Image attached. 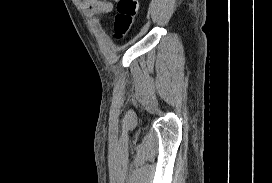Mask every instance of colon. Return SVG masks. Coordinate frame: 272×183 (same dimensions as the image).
<instances>
[{"label":"colon","mask_w":272,"mask_h":183,"mask_svg":"<svg viewBox=\"0 0 272 183\" xmlns=\"http://www.w3.org/2000/svg\"><path fill=\"white\" fill-rule=\"evenodd\" d=\"M140 4L138 0H118L117 14L114 30L117 38L123 37L131 28L138 12Z\"/></svg>","instance_id":"obj_1"}]
</instances>
